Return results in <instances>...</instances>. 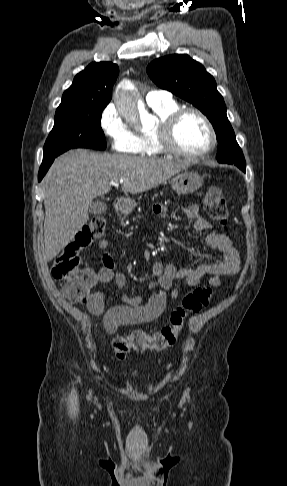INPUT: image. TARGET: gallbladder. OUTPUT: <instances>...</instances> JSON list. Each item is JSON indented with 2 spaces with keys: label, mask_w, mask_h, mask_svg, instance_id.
<instances>
[{
  "label": "gallbladder",
  "mask_w": 287,
  "mask_h": 486,
  "mask_svg": "<svg viewBox=\"0 0 287 486\" xmlns=\"http://www.w3.org/2000/svg\"><path fill=\"white\" fill-rule=\"evenodd\" d=\"M107 209L106 204L101 201H94L89 207V213L92 215H102Z\"/></svg>",
  "instance_id": "1"
}]
</instances>
